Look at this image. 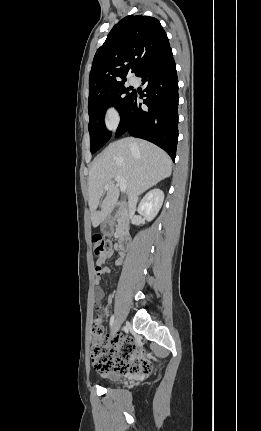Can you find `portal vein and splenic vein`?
Returning <instances> with one entry per match:
<instances>
[{
	"mask_svg": "<svg viewBox=\"0 0 261 431\" xmlns=\"http://www.w3.org/2000/svg\"><path fill=\"white\" fill-rule=\"evenodd\" d=\"M114 180L118 183V185L120 186V190H121V192H125L126 191V187H127V184H126V180L123 178V177H120V176H116L115 178H114ZM109 186H110V184H107V185H105V188L106 189H108L109 188Z\"/></svg>",
	"mask_w": 261,
	"mask_h": 431,
	"instance_id": "obj_1",
	"label": "portal vein and splenic vein"
}]
</instances>
